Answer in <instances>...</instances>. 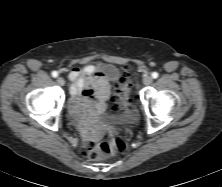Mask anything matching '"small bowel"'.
Segmentation results:
<instances>
[{
	"mask_svg": "<svg viewBox=\"0 0 222 187\" xmlns=\"http://www.w3.org/2000/svg\"><path fill=\"white\" fill-rule=\"evenodd\" d=\"M101 66L87 65L74 68L69 73L72 81L70 93L73 95L72 105L74 114L81 110H102L109 97V83L102 77Z\"/></svg>",
	"mask_w": 222,
	"mask_h": 187,
	"instance_id": "c3829d8e",
	"label": "small bowel"
}]
</instances>
